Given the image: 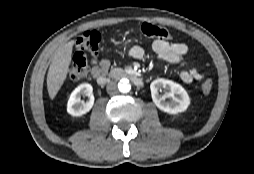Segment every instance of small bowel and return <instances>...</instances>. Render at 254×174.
Returning <instances> with one entry per match:
<instances>
[{
	"label": "small bowel",
	"instance_id": "small-bowel-1",
	"mask_svg": "<svg viewBox=\"0 0 254 174\" xmlns=\"http://www.w3.org/2000/svg\"><path fill=\"white\" fill-rule=\"evenodd\" d=\"M152 49L157 55V59L163 63L178 64L184 61L188 52V46L181 42H168L166 40L157 39L152 42ZM129 56L141 60L145 57V50L140 46H135L130 49ZM109 68L107 60H100L92 69L94 76L104 73ZM180 78L184 83L192 81H201L204 79L203 73L196 67L181 71Z\"/></svg>",
	"mask_w": 254,
	"mask_h": 174
}]
</instances>
